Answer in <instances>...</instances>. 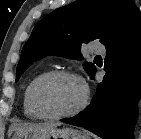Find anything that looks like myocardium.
I'll return each mask as SVG.
<instances>
[{
    "label": "myocardium",
    "mask_w": 141,
    "mask_h": 139,
    "mask_svg": "<svg viewBox=\"0 0 141 139\" xmlns=\"http://www.w3.org/2000/svg\"><path fill=\"white\" fill-rule=\"evenodd\" d=\"M55 77H69L77 80L81 87H82V98L80 102L71 110L63 113L53 114L47 112L44 107L42 106L39 98V93L42 85L47 82L48 80L55 78ZM30 100L32 107L37 112V114L47 120H59L63 118H68L77 115L80 113L88 104L89 100V88L82 76L79 74L66 69H55L50 70L42 74L33 84L30 92Z\"/></svg>",
    "instance_id": "myocardium-1"
}]
</instances>
